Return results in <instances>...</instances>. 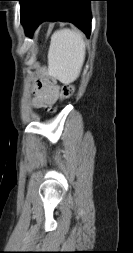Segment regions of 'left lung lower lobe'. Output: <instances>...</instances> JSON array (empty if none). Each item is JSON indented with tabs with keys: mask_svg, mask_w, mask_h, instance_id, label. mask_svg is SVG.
Masks as SVG:
<instances>
[{
	"mask_svg": "<svg viewBox=\"0 0 133 253\" xmlns=\"http://www.w3.org/2000/svg\"><path fill=\"white\" fill-rule=\"evenodd\" d=\"M91 1L95 0H23L20 5L21 23L30 37L44 21L71 22L89 37Z\"/></svg>",
	"mask_w": 133,
	"mask_h": 253,
	"instance_id": "left-lung-lower-lobe-1",
	"label": "left lung lower lobe"
}]
</instances>
